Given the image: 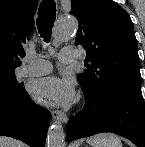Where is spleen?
<instances>
[{
	"instance_id": "spleen-1",
	"label": "spleen",
	"mask_w": 145,
	"mask_h": 147,
	"mask_svg": "<svg viewBox=\"0 0 145 147\" xmlns=\"http://www.w3.org/2000/svg\"><path fill=\"white\" fill-rule=\"evenodd\" d=\"M92 147H122L118 136L111 133H102L88 139Z\"/></svg>"
}]
</instances>
